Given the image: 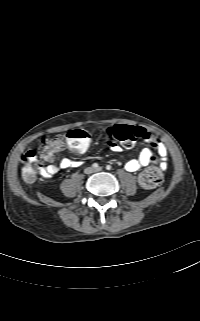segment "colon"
Returning a JSON list of instances; mask_svg holds the SVG:
<instances>
[{"label": "colon", "instance_id": "1", "mask_svg": "<svg viewBox=\"0 0 200 321\" xmlns=\"http://www.w3.org/2000/svg\"><path fill=\"white\" fill-rule=\"evenodd\" d=\"M107 133L110 138L118 141L124 147H132L136 140L141 137V132L136 127L129 125H115L108 128ZM90 135L83 129H73L64 136L54 137L42 141L37 150H28L22 159V176L25 181L33 182L36 178L37 169L42 161L54 156L59 147L67 145L74 152L84 155L87 152ZM163 180V174L159 166L153 165L145 169L139 176L142 187L152 189L157 187Z\"/></svg>", "mask_w": 200, "mask_h": 321}]
</instances>
